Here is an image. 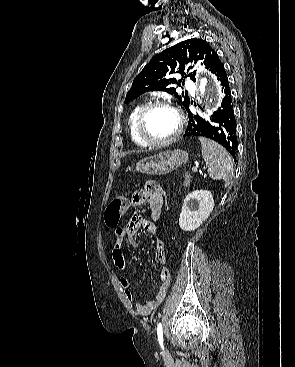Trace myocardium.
Returning a JSON list of instances; mask_svg holds the SVG:
<instances>
[{"instance_id": "obj_1", "label": "myocardium", "mask_w": 295, "mask_h": 367, "mask_svg": "<svg viewBox=\"0 0 295 367\" xmlns=\"http://www.w3.org/2000/svg\"><path fill=\"white\" fill-rule=\"evenodd\" d=\"M156 107H165V108L171 109L176 114L177 119H178V127L175 133L172 136H170L169 138L164 139V140H153L146 135L145 130H144V123H145L147 114L149 113L150 110ZM183 128H184V118L182 114L180 113V111L175 106H173L171 103H169L168 101H163V100H155V101H151L143 105L136 119V132H137L138 137L145 144H147L148 146H153V147H162V146H166V145H169L175 142L182 134Z\"/></svg>"}]
</instances>
